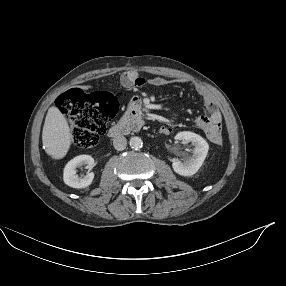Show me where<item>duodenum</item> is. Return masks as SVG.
Here are the masks:
<instances>
[{
  "label": "duodenum",
  "mask_w": 286,
  "mask_h": 286,
  "mask_svg": "<svg viewBox=\"0 0 286 286\" xmlns=\"http://www.w3.org/2000/svg\"><path fill=\"white\" fill-rule=\"evenodd\" d=\"M135 115L131 116L129 119L122 120L119 123L113 124L108 129V136L111 138H116L122 135L128 134L130 131H137L142 126V121L139 117V111L137 109L133 110Z\"/></svg>",
  "instance_id": "410a0bca"
}]
</instances>
